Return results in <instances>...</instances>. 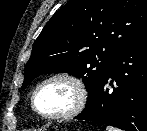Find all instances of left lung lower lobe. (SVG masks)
I'll return each instance as SVG.
<instances>
[{"mask_svg":"<svg viewBox=\"0 0 147 131\" xmlns=\"http://www.w3.org/2000/svg\"><path fill=\"white\" fill-rule=\"evenodd\" d=\"M74 119L147 131V34L121 51L96 95Z\"/></svg>","mask_w":147,"mask_h":131,"instance_id":"1","label":"left lung lower lobe"}]
</instances>
